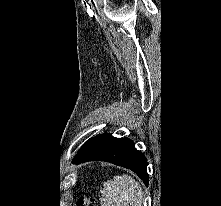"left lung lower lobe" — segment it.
Instances as JSON below:
<instances>
[{"label": "left lung lower lobe", "instance_id": "1", "mask_svg": "<svg viewBox=\"0 0 221 206\" xmlns=\"http://www.w3.org/2000/svg\"><path fill=\"white\" fill-rule=\"evenodd\" d=\"M106 161L134 171L148 185L145 156L134 147L127 138H115L110 134H102L92 141L82 151L77 153L73 163L87 161Z\"/></svg>", "mask_w": 221, "mask_h": 206}]
</instances>
